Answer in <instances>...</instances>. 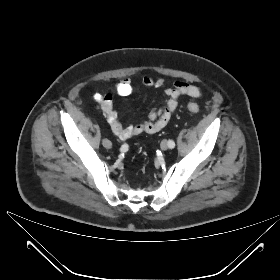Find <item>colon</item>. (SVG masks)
<instances>
[{"label":"colon","mask_w":280,"mask_h":280,"mask_svg":"<svg viewBox=\"0 0 280 280\" xmlns=\"http://www.w3.org/2000/svg\"><path fill=\"white\" fill-rule=\"evenodd\" d=\"M187 109L190 111V112H193V113H196L199 111V105L195 102H190L188 103L187 105Z\"/></svg>","instance_id":"obj_1"}]
</instances>
